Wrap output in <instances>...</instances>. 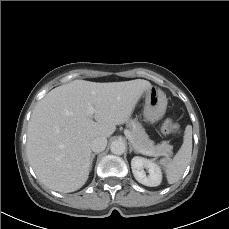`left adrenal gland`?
Here are the masks:
<instances>
[{
	"mask_svg": "<svg viewBox=\"0 0 229 229\" xmlns=\"http://www.w3.org/2000/svg\"><path fill=\"white\" fill-rule=\"evenodd\" d=\"M129 152L131 153L132 151H134L136 154H138L139 152L136 150V149H134L133 147H132V145L129 143Z\"/></svg>",
	"mask_w": 229,
	"mask_h": 229,
	"instance_id": "obj_1",
	"label": "left adrenal gland"
}]
</instances>
